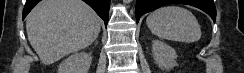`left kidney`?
I'll return each instance as SVG.
<instances>
[{"mask_svg": "<svg viewBox=\"0 0 244 73\" xmlns=\"http://www.w3.org/2000/svg\"><path fill=\"white\" fill-rule=\"evenodd\" d=\"M152 55L155 63L162 69L170 70L176 66L178 55L175 49L162 41H152Z\"/></svg>", "mask_w": 244, "mask_h": 73, "instance_id": "obj_1", "label": "left kidney"}]
</instances>
